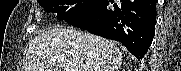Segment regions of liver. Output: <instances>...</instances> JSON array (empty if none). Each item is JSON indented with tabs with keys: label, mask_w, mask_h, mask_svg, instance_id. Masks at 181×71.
<instances>
[{
	"label": "liver",
	"mask_w": 181,
	"mask_h": 71,
	"mask_svg": "<svg viewBox=\"0 0 181 71\" xmlns=\"http://www.w3.org/2000/svg\"><path fill=\"white\" fill-rule=\"evenodd\" d=\"M122 52L115 42L69 27H57L29 44L23 71H116Z\"/></svg>",
	"instance_id": "liver-1"
}]
</instances>
